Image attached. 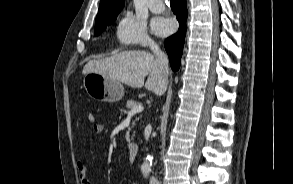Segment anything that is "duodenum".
Returning a JSON list of instances; mask_svg holds the SVG:
<instances>
[{"instance_id":"1","label":"duodenum","mask_w":293,"mask_h":184,"mask_svg":"<svg viewBox=\"0 0 293 184\" xmlns=\"http://www.w3.org/2000/svg\"><path fill=\"white\" fill-rule=\"evenodd\" d=\"M128 149H129V159L130 161H134L138 155L139 146L135 142H130Z\"/></svg>"}]
</instances>
